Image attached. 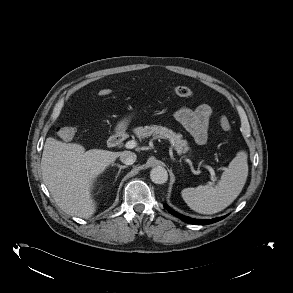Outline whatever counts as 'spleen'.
<instances>
[{
  "mask_svg": "<svg viewBox=\"0 0 293 293\" xmlns=\"http://www.w3.org/2000/svg\"><path fill=\"white\" fill-rule=\"evenodd\" d=\"M248 155L239 151L222 173L221 180L215 186L200 185L182 190V198L195 212L215 214L224 210L239 196L248 176Z\"/></svg>",
  "mask_w": 293,
  "mask_h": 293,
  "instance_id": "3e777b00",
  "label": "spleen"
}]
</instances>
